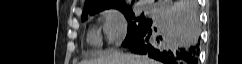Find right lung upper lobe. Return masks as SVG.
I'll use <instances>...</instances> for the list:
<instances>
[{
  "label": "right lung upper lobe",
  "mask_w": 242,
  "mask_h": 64,
  "mask_svg": "<svg viewBox=\"0 0 242 64\" xmlns=\"http://www.w3.org/2000/svg\"><path fill=\"white\" fill-rule=\"evenodd\" d=\"M108 8L121 10L128 9L129 7L125 3V0H86L82 15L97 13Z\"/></svg>",
  "instance_id": "cb5924a9"
}]
</instances>
